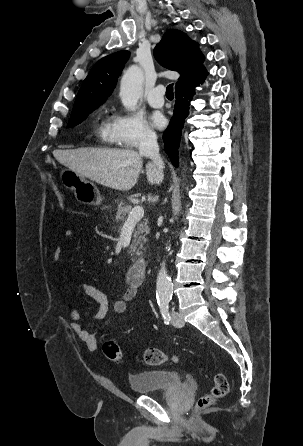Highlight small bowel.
Wrapping results in <instances>:
<instances>
[{"instance_id": "1", "label": "small bowel", "mask_w": 303, "mask_h": 446, "mask_svg": "<svg viewBox=\"0 0 303 446\" xmlns=\"http://www.w3.org/2000/svg\"><path fill=\"white\" fill-rule=\"evenodd\" d=\"M76 235L74 229L68 228L64 231V236L66 239H72ZM62 257V249L57 246L53 251V259L55 263L59 264ZM81 291L90 299H92L97 304V309L90 321H102L104 325L112 323L115 318L123 314L128 306V303L132 301L137 295V286L130 285L124 293L117 299L113 304V315L108 316L109 302L106 294L100 290L98 287L88 284H80ZM70 318L72 320V330L76 333L79 339L85 344L88 350L94 351L97 348V339L93 333L87 330L81 319V315L77 309H72L70 311Z\"/></svg>"}]
</instances>
